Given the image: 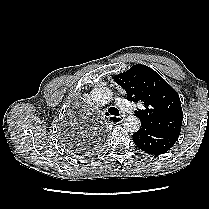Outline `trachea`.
Returning a JSON list of instances; mask_svg holds the SVG:
<instances>
[{
	"label": "trachea",
	"mask_w": 209,
	"mask_h": 209,
	"mask_svg": "<svg viewBox=\"0 0 209 209\" xmlns=\"http://www.w3.org/2000/svg\"><path fill=\"white\" fill-rule=\"evenodd\" d=\"M106 116H109V115H114V116H119V110L115 107H110L107 112L105 113Z\"/></svg>",
	"instance_id": "1"
}]
</instances>
